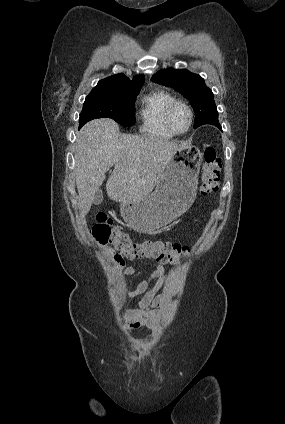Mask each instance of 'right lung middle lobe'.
I'll return each instance as SVG.
<instances>
[{"label": "right lung middle lobe", "mask_w": 285, "mask_h": 424, "mask_svg": "<svg viewBox=\"0 0 285 424\" xmlns=\"http://www.w3.org/2000/svg\"><path fill=\"white\" fill-rule=\"evenodd\" d=\"M140 87L92 90L86 97L79 128L96 118H111L123 126L135 123V100Z\"/></svg>", "instance_id": "right-lung-middle-lobe-1"}]
</instances>
